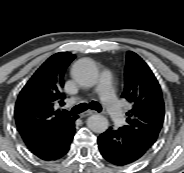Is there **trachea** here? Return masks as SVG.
Instances as JSON below:
<instances>
[{
  "mask_svg": "<svg viewBox=\"0 0 184 173\" xmlns=\"http://www.w3.org/2000/svg\"><path fill=\"white\" fill-rule=\"evenodd\" d=\"M88 108L96 110L98 112L102 111L101 105L98 102H96V101H92L89 104L81 103L79 105H76L74 108H72L71 111H69V112L66 111V113H68L70 115H76V114H79L81 112L86 111Z\"/></svg>",
  "mask_w": 184,
  "mask_h": 173,
  "instance_id": "trachea-1",
  "label": "trachea"
}]
</instances>
